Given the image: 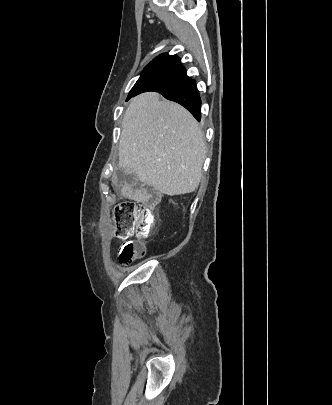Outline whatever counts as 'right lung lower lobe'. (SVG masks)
Segmentation results:
<instances>
[{"instance_id": "98d812e1", "label": "right lung lower lobe", "mask_w": 332, "mask_h": 405, "mask_svg": "<svg viewBox=\"0 0 332 405\" xmlns=\"http://www.w3.org/2000/svg\"><path fill=\"white\" fill-rule=\"evenodd\" d=\"M157 92L162 94L165 98L184 106L198 121H200L201 99L194 79H188L174 87ZM137 94H139V91L131 90L127 100Z\"/></svg>"}]
</instances>
